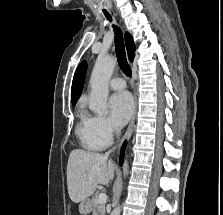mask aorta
Segmentation results:
<instances>
[{
	"instance_id": "aorta-1",
	"label": "aorta",
	"mask_w": 223,
	"mask_h": 215,
	"mask_svg": "<svg viewBox=\"0 0 223 215\" xmlns=\"http://www.w3.org/2000/svg\"><path fill=\"white\" fill-rule=\"evenodd\" d=\"M116 60L113 56H98L90 78L91 94L89 108L98 115H106L109 80L114 72ZM128 163H124V173H127ZM121 207L116 205L110 215H120Z\"/></svg>"
}]
</instances>
